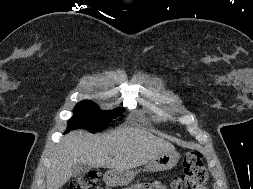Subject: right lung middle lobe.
<instances>
[{
    "label": "right lung middle lobe",
    "mask_w": 253,
    "mask_h": 189,
    "mask_svg": "<svg viewBox=\"0 0 253 189\" xmlns=\"http://www.w3.org/2000/svg\"><path fill=\"white\" fill-rule=\"evenodd\" d=\"M73 112L74 115L68 120L65 133L77 128H84L96 133L108 128L111 119L117 118L121 114L122 108L110 112H101L95 103L85 100L78 103Z\"/></svg>",
    "instance_id": "dd1d6c3e"
}]
</instances>
